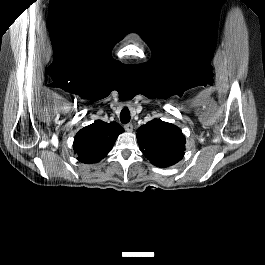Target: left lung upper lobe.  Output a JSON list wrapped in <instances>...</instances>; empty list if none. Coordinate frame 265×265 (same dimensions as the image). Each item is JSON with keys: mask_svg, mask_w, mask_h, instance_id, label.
Wrapping results in <instances>:
<instances>
[{"mask_svg": "<svg viewBox=\"0 0 265 265\" xmlns=\"http://www.w3.org/2000/svg\"><path fill=\"white\" fill-rule=\"evenodd\" d=\"M137 141L145 157L158 167H168L184 156L185 136L175 125L153 119L137 129Z\"/></svg>", "mask_w": 265, "mask_h": 265, "instance_id": "left-lung-upper-lobe-1", "label": "left lung upper lobe"}]
</instances>
